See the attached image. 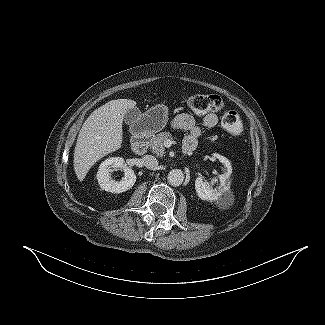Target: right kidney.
<instances>
[{"mask_svg": "<svg viewBox=\"0 0 325 325\" xmlns=\"http://www.w3.org/2000/svg\"><path fill=\"white\" fill-rule=\"evenodd\" d=\"M111 168L123 169L125 176L120 182L111 180ZM97 180L102 190L112 193H122L130 189L136 182V175L134 171L125 165L122 157H110L103 161L97 172Z\"/></svg>", "mask_w": 325, "mask_h": 325, "instance_id": "ca27d5eb", "label": "right kidney"}]
</instances>
